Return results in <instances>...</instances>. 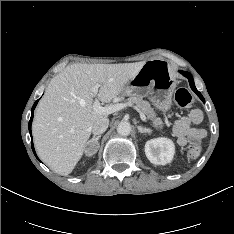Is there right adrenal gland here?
I'll return each mask as SVG.
<instances>
[{
  "mask_svg": "<svg viewBox=\"0 0 234 234\" xmlns=\"http://www.w3.org/2000/svg\"><path fill=\"white\" fill-rule=\"evenodd\" d=\"M100 138H101V135L92 137V138L86 143L85 146L89 145L91 142H95L96 145H97V150H96V151H98V149H99V147H100V144H99L98 140H99ZM87 155H88V154H87ZM88 156H90V155H88Z\"/></svg>",
  "mask_w": 234,
  "mask_h": 234,
  "instance_id": "1",
  "label": "right adrenal gland"
}]
</instances>
